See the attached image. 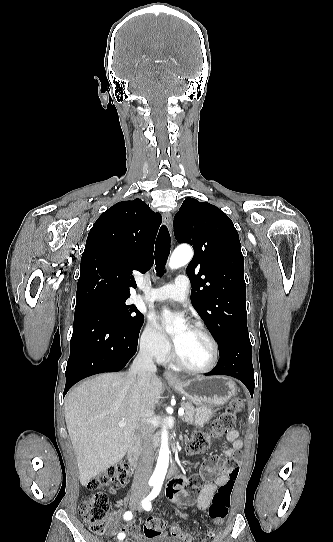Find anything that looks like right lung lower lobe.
Segmentation results:
<instances>
[{
    "mask_svg": "<svg viewBox=\"0 0 333 542\" xmlns=\"http://www.w3.org/2000/svg\"><path fill=\"white\" fill-rule=\"evenodd\" d=\"M139 331L118 325L97 306L76 304L64 395L88 376L123 369L136 353Z\"/></svg>",
    "mask_w": 333,
    "mask_h": 542,
    "instance_id": "98d812e1",
    "label": "right lung lower lobe"
}]
</instances>
